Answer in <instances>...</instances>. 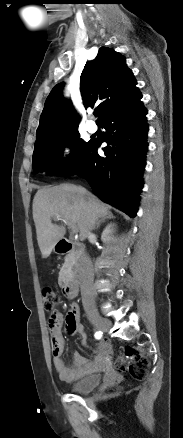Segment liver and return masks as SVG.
<instances>
[{
    "instance_id": "liver-1",
    "label": "liver",
    "mask_w": 183,
    "mask_h": 438,
    "mask_svg": "<svg viewBox=\"0 0 183 438\" xmlns=\"http://www.w3.org/2000/svg\"><path fill=\"white\" fill-rule=\"evenodd\" d=\"M108 213L105 204L83 187L62 184L39 189L33 200V219L42 257H49L66 233L64 226L52 223V217L60 216L85 239L98 219Z\"/></svg>"
}]
</instances>
